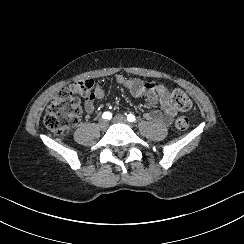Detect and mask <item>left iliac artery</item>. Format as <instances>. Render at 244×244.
I'll list each match as a JSON object with an SVG mask.
<instances>
[{
  "mask_svg": "<svg viewBox=\"0 0 244 244\" xmlns=\"http://www.w3.org/2000/svg\"><path fill=\"white\" fill-rule=\"evenodd\" d=\"M127 120L129 122H134L136 120L135 116L133 114H128L127 115Z\"/></svg>",
  "mask_w": 244,
  "mask_h": 244,
  "instance_id": "left-iliac-artery-1",
  "label": "left iliac artery"
}]
</instances>
